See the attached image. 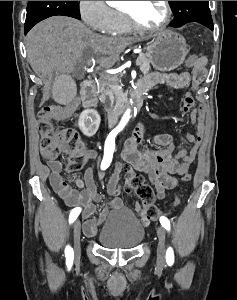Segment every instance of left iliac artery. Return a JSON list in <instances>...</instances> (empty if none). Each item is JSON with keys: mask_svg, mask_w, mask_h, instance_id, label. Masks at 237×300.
<instances>
[{"mask_svg": "<svg viewBox=\"0 0 237 300\" xmlns=\"http://www.w3.org/2000/svg\"><path fill=\"white\" fill-rule=\"evenodd\" d=\"M160 223L166 230H170V221L166 217H160ZM166 262L169 266L174 263V253L171 247H169L166 251Z\"/></svg>", "mask_w": 237, "mask_h": 300, "instance_id": "left-iliac-artery-1", "label": "left iliac artery"}]
</instances>
